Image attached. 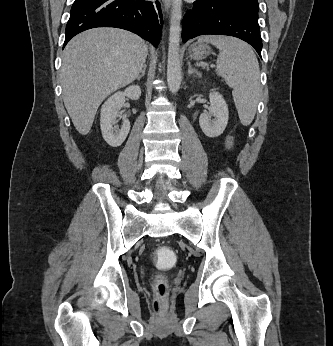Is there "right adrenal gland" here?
<instances>
[{
    "instance_id": "1",
    "label": "right adrenal gland",
    "mask_w": 333,
    "mask_h": 346,
    "mask_svg": "<svg viewBox=\"0 0 333 346\" xmlns=\"http://www.w3.org/2000/svg\"><path fill=\"white\" fill-rule=\"evenodd\" d=\"M147 65L144 64L143 69L141 71V74L137 76V80H140L142 77H144L145 72H146Z\"/></svg>"
}]
</instances>
